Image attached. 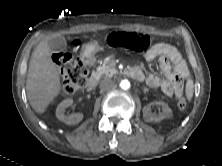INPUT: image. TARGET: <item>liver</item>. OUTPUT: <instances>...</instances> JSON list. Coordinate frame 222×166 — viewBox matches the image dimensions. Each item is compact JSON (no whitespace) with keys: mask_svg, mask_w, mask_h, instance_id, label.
Masks as SVG:
<instances>
[{"mask_svg":"<svg viewBox=\"0 0 222 166\" xmlns=\"http://www.w3.org/2000/svg\"><path fill=\"white\" fill-rule=\"evenodd\" d=\"M60 91V75L51 59L47 40H42L35 48L29 62L26 80L29 103L37 113H44Z\"/></svg>","mask_w":222,"mask_h":166,"instance_id":"liver-1","label":"liver"}]
</instances>
